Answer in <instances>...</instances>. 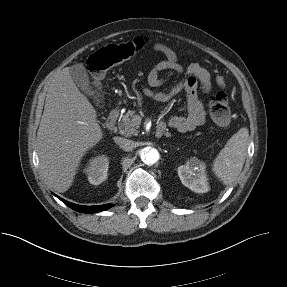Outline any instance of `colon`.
<instances>
[{"mask_svg": "<svg viewBox=\"0 0 287 287\" xmlns=\"http://www.w3.org/2000/svg\"><path fill=\"white\" fill-rule=\"evenodd\" d=\"M145 44L146 40L144 38L137 37L129 42L106 45L88 57L87 69L90 73L92 84L96 89L95 99L97 103H100L102 100L99 87L106 71L112 66L132 58L144 48ZM209 109L211 117L216 124L220 126L229 125L231 110L228 98L224 92L219 91L212 95L209 101Z\"/></svg>", "mask_w": 287, "mask_h": 287, "instance_id": "1", "label": "colon"}]
</instances>
